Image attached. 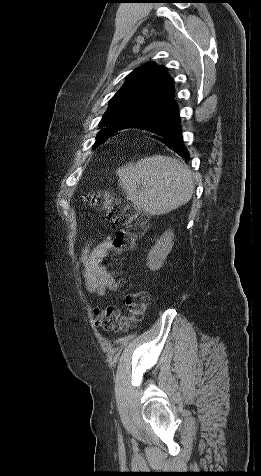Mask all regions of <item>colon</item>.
Returning <instances> with one entry per match:
<instances>
[{
	"mask_svg": "<svg viewBox=\"0 0 261 476\" xmlns=\"http://www.w3.org/2000/svg\"><path fill=\"white\" fill-rule=\"evenodd\" d=\"M86 201L119 228L112 242L114 253L120 255L133 249L137 238L147 229L146 218L107 191L88 195ZM148 303L149 296L146 292H130L125 296L127 315H122L115 306L96 308L95 324L107 332L125 330L132 322L139 321L143 317Z\"/></svg>",
	"mask_w": 261,
	"mask_h": 476,
	"instance_id": "colon-1",
	"label": "colon"
}]
</instances>
